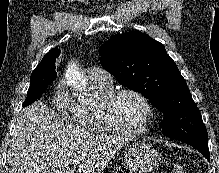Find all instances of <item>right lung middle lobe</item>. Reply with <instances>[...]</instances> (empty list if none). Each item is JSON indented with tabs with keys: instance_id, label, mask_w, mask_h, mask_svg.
<instances>
[{
	"instance_id": "1",
	"label": "right lung middle lobe",
	"mask_w": 219,
	"mask_h": 173,
	"mask_svg": "<svg viewBox=\"0 0 219 173\" xmlns=\"http://www.w3.org/2000/svg\"><path fill=\"white\" fill-rule=\"evenodd\" d=\"M57 75L47 73L44 71L32 72L30 87L27 93V98L23 106H28L39 99L48 85L56 79Z\"/></svg>"
}]
</instances>
